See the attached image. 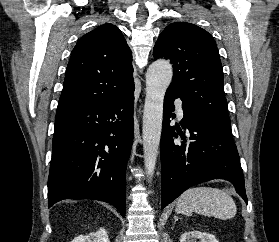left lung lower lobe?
Masks as SVG:
<instances>
[{
    "label": "left lung lower lobe",
    "instance_id": "0a47b994",
    "mask_svg": "<svg viewBox=\"0 0 279 242\" xmlns=\"http://www.w3.org/2000/svg\"><path fill=\"white\" fill-rule=\"evenodd\" d=\"M178 96L167 90L164 98L161 150V208L189 187L211 179L232 182L237 193L248 203L240 158L231 132L185 111L180 128L170 126L174 100ZM173 116V115H172ZM177 131L181 137L178 138Z\"/></svg>",
    "mask_w": 279,
    "mask_h": 242
}]
</instances>
